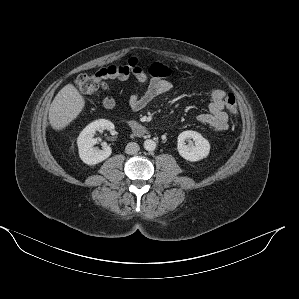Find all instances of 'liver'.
I'll return each instance as SVG.
<instances>
[{
  "mask_svg": "<svg viewBox=\"0 0 299 299\" xmlns=\"http://www.w3.org/2000/svg\"><path fill=\"white\" fill-rule=\"evenodd\" d=\"M85 106V99L73 84L65 85L52 101L48 119L51 127L60 131L66 128Z\"/></svg>",
  "mask_w": 299,
  "mask_h": 299,
  "instance_id": "1",
  "label": "liver"
}]
</instances>
